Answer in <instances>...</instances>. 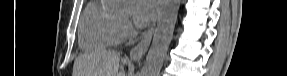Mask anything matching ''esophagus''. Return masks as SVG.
I'll return each instance as SVG.
<instances>
[{
  "label": "esophagus",
  "mask_w": 287,
  "mask_h": 76,
  "mask_svg": "<svg viewBox=\"0 0 287 76\" xmlns=\"http://www.w3.org/2000/svg\"><path fill=\"white\" fill-rule=\"evenodd\" d=\"M157 18L153 21L150 28L143 34L140 42L130 51V58L135 61L141 60L146 54L156 25Z\"/></svg>",
  "instance_id": "esophagus-1"
}]
</instances>
